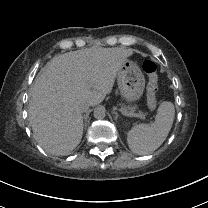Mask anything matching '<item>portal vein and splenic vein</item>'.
Masks as SVG:
<instances>
[{
	"label": "portal vein and splenic vein",
	"mask_w": 208,
	"mask_h": 208,
	"mask_svg": "<svg viewBox=\"0 0 208 208\" xmlns=\"http://www.w3.org/2000/svg\"><path fill=\"white\" fill-rule=\"evenodd\" d=\"M119 111L123 112V114L126 115V116L130 115L131 118L141 117L143 120L147 119V116L144 112H136V113H131L130 114V112H125L123 107H120Z\"/></svg>",
	"instance_id": "1"
}]
</instances>
